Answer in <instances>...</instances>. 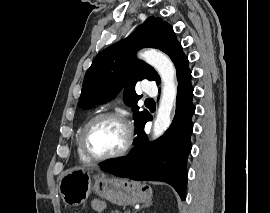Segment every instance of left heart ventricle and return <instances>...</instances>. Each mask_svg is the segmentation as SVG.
I'll return each instance as SVG.
<instances>
[{
  "label": "left heart ventricle",
  "mask_w": 270,
  "mask_h": 213,
  "mask_svg": "<svg viewBox=\"0 0 270 213\" xmlns=\"http://www.w3.org/2000/svg\"><path fill=\"white\" fill-rule=\"evenodd\" d=\"M126 141V128L118 120L101 119L89 130L87 146L96 156H105L120 150Z\"/></svg>",
  "instance_id": "left-heart-ventricle-1"
}]
</instances>
